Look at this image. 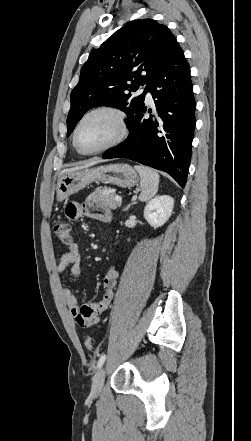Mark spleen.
<instances>
[{
	"instance_id": "spleen-1",
	"label": "spleen",
	"mask_w": 251,
	"mask_h": 441,
	"mask_svg": "<svg viewBox=\"0 0 251 441\" xmlns=\"http://www.w3.org/2000/svg\"><path fill=\"white\" fill-rule=\"evenodd\" d=\"M135 169L137 170L141 178V193L139 195V200L142 202H146L153 198L158 192L160 176L157 171L149 167L136 165Z\"/></svg>"
}]
</instances>
